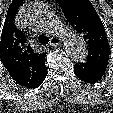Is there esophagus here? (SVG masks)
<instances>
[{
  "label": "esophagus",
  "instance_id": "34e87169",
  "mask_svg": "<svg viewBox=\"0 0 113 113\" xmlns=\"http://www.w3.org/2000/svg\"><path fill=\"white\" fill-rule=\"evenodd\" d=\"M61 43H62V40L58 37H51L49 41V45L54 47L61 45Z\"/></svg>",
  "mask_w": 113,
  "mask_h": 113
}]
</instances>
